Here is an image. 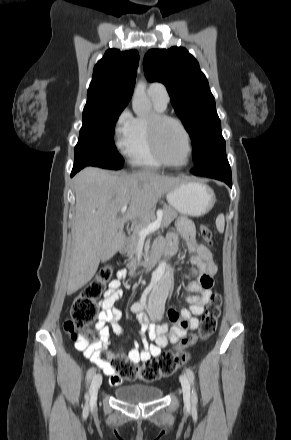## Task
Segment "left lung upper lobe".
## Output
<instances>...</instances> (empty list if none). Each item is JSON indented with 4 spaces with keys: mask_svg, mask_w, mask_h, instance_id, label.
<instances>
[{
    "mask_svg": "<svg viewBox=\"0 0 291 440\" xmlns=\"http://www.w3.org/2000/svg\"><path fill=\"white\" fill-rule=\"evenodd\" d=\"M146 78L163 83L192 139L195 167L225 150L215 99L197 60L182 47L152 49L144 57Z\"/></svg>",
    "mask_w": 291,
    "mask_h": 440,
    "instance_id": "obj_1",
    "label": "left lung upper lobe"
}]
</instances>
